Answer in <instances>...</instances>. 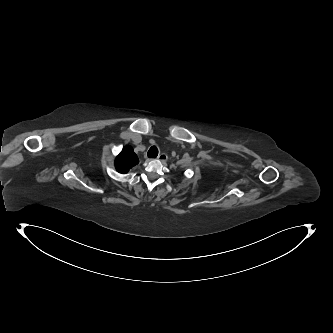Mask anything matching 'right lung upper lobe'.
Listing matches in <instances>:
<instances>
[{"label": "right lung upper lobe", "mask_w": 333, "mask_h": 333, "mask_svg": "<svg viewBox=\"0 0 333 333\" xmlns=\"http://www.w3.org/2000/svg\"><path fill=\"white\" fill-rule=\"evenodd\" d=\"M139 159L131 146H126L116 157L115 167L119 173H127L130 168L137 165Z\"/></svg>", "instance_id": "cb5924a9"}]
</instances>
